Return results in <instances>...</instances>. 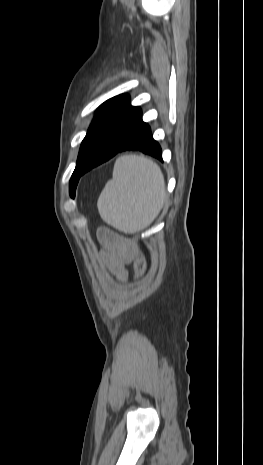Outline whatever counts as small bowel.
I'll return each instance as SVG.
<instances>
[{
	"instance_id": "obj_1",
	"label": "small bowel",
	"mask_w": 263,
	"mask_h": 465,
	"mask_svg": "<svg viewBox=\"0 0 263 465\" xmlns=\"http://www.w3.org/2000/svg\"><path fill=\"white\" fill-rule=\"evenodd\" d=\"M103 239L108 244L109 243L111 244L112 242L111 236L109 234H104ZM128 257L129 255L127 252H120L118 258H116L115 260V263H114L115 271H116L117 276L120 279H124L126 277V271H125L124 265H125V262L128 260Z\"/></svg>"
}]
</instances>
